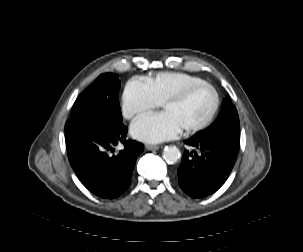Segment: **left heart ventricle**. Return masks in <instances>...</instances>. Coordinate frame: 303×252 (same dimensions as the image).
Returning a JSON list of instances; mask_svg holds the SVG:
<instances>
[{
    "instance_id": "obj_1",
    "label": "left heart ventricle",
    "mask_w": 303,
    "mask_h": 252,
    "mask_svg": "<svg viewBox=\"0 0 303 252\" xmlns=\"http://www.w3.org/2000/svg\"><path fill=\"white\" fill-rule=\"evenodd\" d=\"M212 107V94L205 91L192 94L182 104L169 106L167 112L181 129H188L203 123L210 115Z\"/></svg>"
}]
</instances>
